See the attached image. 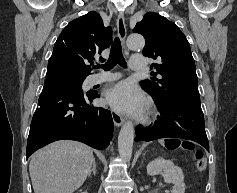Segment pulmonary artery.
Listing matches in <instances>:
<instances>
[{
	"instance_id": "obj_1",
	"label": "pulmonary artery",
	"mask_w": 237,
	"mask_h": 193,
	"mask_svg": "<svg viewBox=\"0 0 237 193\" xmlns=\"http://www.w3.org/2000/svg\"><path fill=\"white\" fill-rule=\"evenodd\" d=\"M129 65L132 70L141 71L144 70L146 67V60L144 57L140 56H132L129 61ZM119 78L118 74H101V75H94L91 77L90 83L92 85L104 83L107 81L115 80Z\"/></svg>"
}]
</instances>
